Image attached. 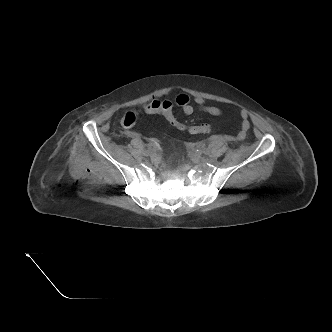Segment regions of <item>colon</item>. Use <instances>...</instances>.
Returning a JSON list of instances; mask_svg holds the SVG:
<instances>
[{
  "label": "colon",
  "mask_w": 332,
  "mask_h": 332,
  "mask_svg": "<svg viewBox=\"0 0 332 332\" xmlns=\"http://www.w3.org/2000/svg\"><path fill=\"white\" fill-rule=\"evenodd\" d=\"M144 112L147 114L161 115L172 127L177 130L188 132L191 135L205 134L211 131V125L208 123H201L190 125L184 122L174 111V105L169 100L154 99L144 106ZM141 112L137 110L127 111L121 122L125 127L133 126Z\"/></svg>",
  "instance_id": "obj_1"
}]
</instances>
